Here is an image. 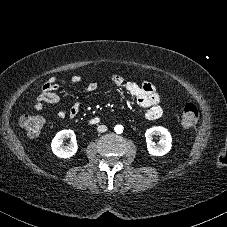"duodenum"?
Wrapping results in <instances>:
<instances>
[{"mask_svg": "<svg viewBox=\"0 0 227 227\" xmlns=\"http://www.w3.org/2000/svg\"><path fill=\"white\" fill-rule=\"evenodd\" d=\"M97 122H99V118H97V117L92 118V119L89 120V124H95Z\"/></svg>", "mask_w": 227, "mask_h": 227, "instance_id": "1", "label": "duodenum"}]
</instances>
